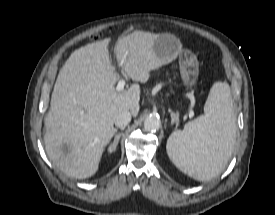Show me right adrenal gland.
Masks as SVG:
<instances>
[{"label":"right adrenal gland","mask_w":275,"mask_h":215,"mask_svg":"<svg viewBox=\"0 0 275 215\" xmlns=\"http://www.w3.org/2000/svg\"><path fill=\"white\" fill-rule=\"evenodd\" d=\"M121 130H123V128ZM121 135H122V132H120V133H118V134L115 135L114 142L108 148V151L110 153L116 150V147H117V145L119 143Z\"/></svg>","instance_id":"2a0ac1e0"}]
</instances>
